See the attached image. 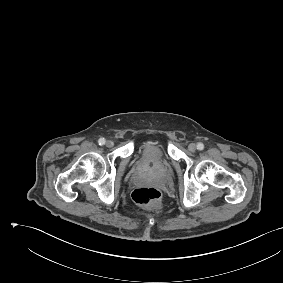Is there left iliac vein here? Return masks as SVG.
I'll return each instance as SVG.
<instances>
[{"label":"left iliac vein","mask_w":283,"mask_h":283,"mask_svg":"<svg viewBox=\"0 0 283 283\" xmlns=\"http://www.w3.org/2000/svg\"><path fill=\"white\" fill-rule=\"evenodd\" d=\"M196 149H197V146L194 143H191V144L188 145V150L190 152H195Z\"/></svg>","instance_id":"obj_1"}]
</instances>
